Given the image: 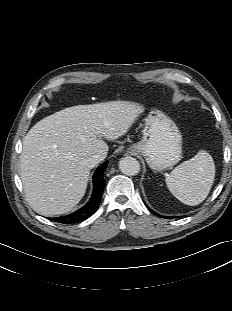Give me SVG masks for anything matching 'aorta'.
Masks as SVG:
<instances>
[{
	"mask_svg": "<svg viewBox=\"0 0 232 311\" xmlns=\"http://www.w3.org/2000/svg\"><path fill=\"white\" fill-rule=\"evenodd\" d=\"M120 171L128 176H134L140 171V163L136 158L124 157L119 161Z\"/></svg>",
	"mask_w": 232,
	"mask_h": 311,
	"instance_id": "obj_1",
	"label": "aorta"
}]
</instances>
